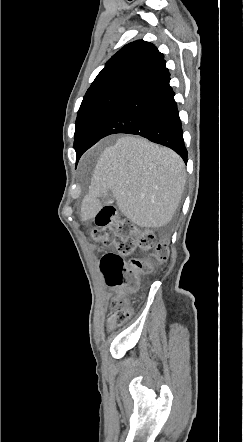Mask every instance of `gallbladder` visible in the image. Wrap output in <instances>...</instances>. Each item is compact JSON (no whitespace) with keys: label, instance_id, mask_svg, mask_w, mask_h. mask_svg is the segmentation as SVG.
<instances>
[{"label":"gallbladder","instance_id":"bac80fb5","mask_svg":"<svg viewBox=\"0 0 243 442\" xmlns=\"http://www.w3.org/2000/svg\"><path fill=\"white\" fill-rule=\"evenodd\" d=\"M103 202H104V204L111 203V204H113V206H114V205H115V202H114V195H113L111 192L106 193V194L103 196Z\"/></svg>","mask_w":243,"mask_h":442}]
</instances>
